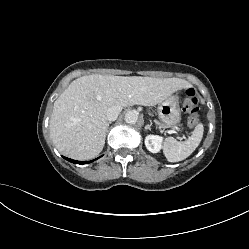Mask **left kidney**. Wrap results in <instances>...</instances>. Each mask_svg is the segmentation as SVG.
<instances>
[{"mask_svg":"<svg viewBox=\"0 0 249 249\" xmlns=\"http://www.w3.org/2000/svg\"><path fill=\"white\" fill-rule=\"evenodd\" d=\"M162 142H163L162 137L158 135H148L145 138V146L152 153L160 152L162 148Z\"/></svg>","mask_w":249,"mask_h":249,"instance_id":"1","label":"left kidney"}]
</instances>
